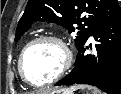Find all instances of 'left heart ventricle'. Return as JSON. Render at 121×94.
Instances as JSON below:
<instances>
[{"instance_id":"b2bd125f","label":"left heart ventricle","mask_w":121,"mask_h":94,"mask_svg":"<svg viewBox=\"0 0 121 94\" xmlns=\"http://www.w3.org/2000/svg\"><path fill=\"white\" fill-rule=\"evenodd\" d=\"M62 62L59 47L52 42H41L27 52L23 67L26 76L33 83H42L51 79Z\"/></svg>"}]
</instances>
